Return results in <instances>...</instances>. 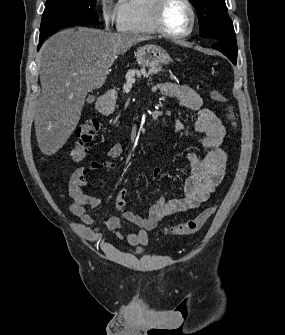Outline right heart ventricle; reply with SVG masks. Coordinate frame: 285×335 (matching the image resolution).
<instances>
[{
	"mask_svg": "<svg viewBox=\"0 0 285 335\" xmlns=\"http://www.w3.org/2000/svg\"><path fill=\"white\" fill-rule=\"evenodd\" d=\"M129 6L133 13L122 23V27L137 35L151 36L159 34L156 25L157 1H130Z\"/></svg>",
	"mask_w": 285,
	"mask_h": 335,
	"instance_id": "1",
	"label": "right heart ventricle"
}]
</instances>
